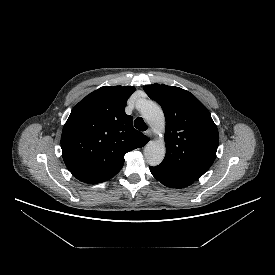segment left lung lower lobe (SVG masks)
<instances>
[{"label":"left lung lower lobe","mask_w":275,"mask_h":275,"mask_svg":"<svg viewBox=\"0 0 275 275\" xmlns=\"http://www.w3.org/2000/svg\"><path fill=\"white\" fill-rule=\"evenodd\" d=\"M150 171L158 181L170 188H184L191 185L195 181L188 176L179 174L161 166L150 167Z\"/></svg>","instance_id":"0a47b994"}]
</instances>
